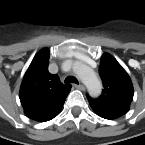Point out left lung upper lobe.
<instances>
[{"label": "left lung upper lobe", "instance_id": "1", "mask_svg": "<svg viewBox=\"0 0 145 145\" xmlns=\"http://www.w3.org/2000/svg\"><path fill=\"white\" fill-rule=\"evenodd\" d=\"M99 73L104 90L98 99L87 96L92 109L99 116L109 120L126 114L134 95L130 77L109 54L102 56Z\"/></svg>", "mask_w": 145, "mask_h": 145}]
</instances>
